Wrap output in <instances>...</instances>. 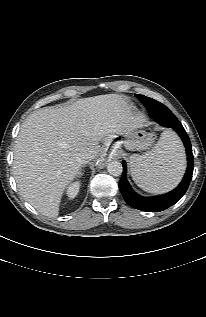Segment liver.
Returning <instances> with one entry per match:
<instances>
[{
	"instance_id": "obj_1",
	"label": "liver",
	"mask_w": 206,
	"mask_h": 317,
	"mask_svg": "<svg viewBox=\"0 0 206 317\" xmlns=\"http://www.w3.org/2000/svg\"><path fill=\"white\" fill-rule=\"evenodd\" d=\"M143 120L118 94L35 111L22 124L14 147L13 173L21 196L41 214L57 217L63 192L81 168L78 155L96 156L102 140L126 135Z\"/></svg>"
}]
</instances>
